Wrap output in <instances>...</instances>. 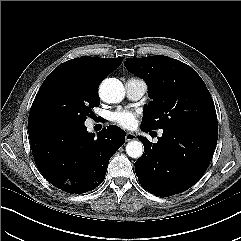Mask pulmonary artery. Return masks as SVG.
I'll list each match as a JSON object with an SVG mask.
<instances>
[{
  "label": "pulmonary artery",
  "instance_id": "pulmonary-artery-1",
  "mask_svg": "<svg viewBox=\"0 0 241 241\" xmlns=\"http://www.w3.org/2000/svg\"><path fill=\"white\" fill-rule=\"evenodd\" d=\"M126 94L131 100H139L148 90L147 83L140 78H130L126 81Z\"/></svg>",
  "mask_w": 241,
  "mask_h": 241
}]
</instances>
